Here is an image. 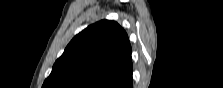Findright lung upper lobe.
Listing matches in <instances>:
<instances>
[{
    "label": "right lung upper lobe",
    "instance_id": "obj_1",
    "mask_svg": "<svg viewBox=\"0 0 223 88\" xmlns=\"http://www.w3.org/2000/svg\"><path fill=\"white\" fill-rule=\"evenodd\" d=\"M132 72L126 32L115 21L102 20L71 40L43 88H132Z\"/></svg>",
    "mask_w": 223,
    "mask_h": 88
}]
</instances>
